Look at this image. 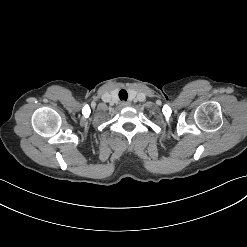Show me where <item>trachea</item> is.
<instances>
[{"mask_svg": "<svg viewBox=\"0 0 247 247\" xmlns=\"http://www.w3.org/2000/svg\"><path fill=\"white\" fill-rule=\"evenodd\" d=\"M119 98H120V100L126 101L127 98H128V93H127V91L124 90V89L120 90V91H119Z\"/></svg>", "mask_w": 247, "mask_h": 247, "instance_id": "trachea-1", "label": "trachea"}]
</instances>
